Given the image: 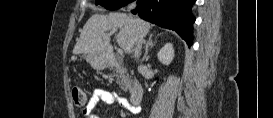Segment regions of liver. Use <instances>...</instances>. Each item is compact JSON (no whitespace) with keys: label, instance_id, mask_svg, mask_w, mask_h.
Listing matches in <instances>:
<instances>
[{"label":"liver","instance_id":"6515ba94","mask_svg":"<svg viewBox=\"0 0 273 118\" xmlns=\"http://www.w3.org/2000/svg\"><path fill=\"white\" fill-rule=\"evenodd\" d=\"M151 26L139 18H133L124 13H110L109 15H92L81 31L80 37L73 49V54H92L104 52L110 48L109 30L119 29L116 36L117 43L130 54L136 46L138 36H146Z\"/></svg>","mask_w":273,"mask_h":118}]
</instances>
